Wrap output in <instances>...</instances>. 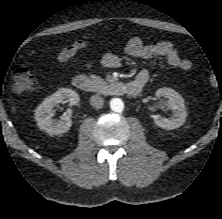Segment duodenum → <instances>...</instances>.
Segmentation results:
<instances>
[{
    "mask_svg": "<svg viewBox=\"0 0 222 219\" xmlns=\"http://www.w3.org/2000/svg\"><path fill=\"white\" fill-rule=\"evenodd\" d=\"M73 85L80 91H89L92 86L91 79L84 74L77 75L73 78ZM142 85L136 82L125 83L122 81H114L106 85L105 91L112 94H128L136 96L140 93Z\"/></svg>",
    "mask_w": 222,
    "mask_h": 219,
    "instance_id": "1",
    "label": "duodenum"
}]
</instances>
